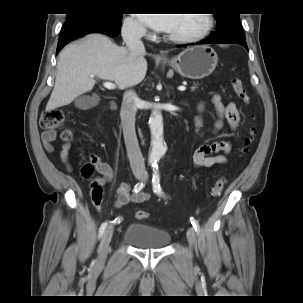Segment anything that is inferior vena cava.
Returning a JSON list of instances; mask_svg holds the SVG:
<instances>
[{
  "label": "inferior vena cava",
  "instance_id": "obj_1",
  "mask_svg": "<svg viewBox=\"0 0 303 303\" xmlns=\"http://www.w3.org/2000/svg\"><path fill=\"white\" fill-rule=\"evenodd\" d=\"M143 31V28L134 22H124L122 26L123 41L127 46L129 56L134 60L145 52L144 44L141 41ZM138 102L139 98L133 90L125 91L120 116L132 172L135 175H142L145 173V164L135 133V114Z\"/></svg>",
  "mask_w": 303,
  "mask_h": 303
}]
</instances>
